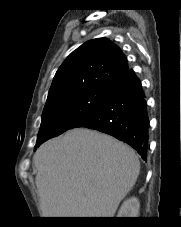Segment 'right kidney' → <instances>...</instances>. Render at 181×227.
<instances>
[{
  "instance_id": "obj_1",
  "label": "right kidney",
  "mask_w": 181,
  "mask_h": 227,
  "mask_svg": "<svg viewBox=\"0 0 181 227\" xmlns=\"http://www.w3.org/2000/svg\"><path fill=\"white\" fill-rule=\"evenodd\" d=\"M140 203L136 197H131L123 202L117 217H138Z\"/></svg>"
}]
</instances>
